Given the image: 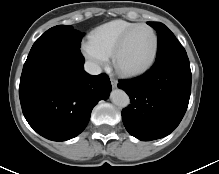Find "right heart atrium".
Returning a JSON list of instances; mask_svg holds the SVG:
<instances>
[{
  "label": "right heart atrium",
  "mask_w": 219,
  "mask_h": 174,
  "mask_svg": "<svg viewBox=\"0 0 219 174\" xmlns=\"http://www.w3.org/2000/svg\"><path fill=\"white\" fill-rule=\"evenodd\" d=\"M81 52L94 69H100L109 63V57L89 40L81 44Z\"/></svg>",
  "instance_id": "d8ad5b80"
}]
</instances>
